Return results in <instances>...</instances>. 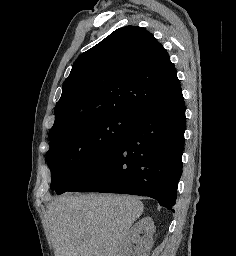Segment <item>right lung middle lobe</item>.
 <instances>
[{
	"instance_id": "right-lung-middle-lobe-1",
	"label": "right lung middle lobe",
	"mask_w": 236,
	"mask_h": 256,
	"mask_svg": "<svg viewBox=\"0 0 236 256\" xmlns=\"http://www.w3.org/2000/svg\"><path fill=\"white\" fill-rule=\"evenodd\" d=\"M136 119L108 116L70 125L49 135L46 161L51 169V189L66 192L90 168L111 153Z\"/></svg>"
}]
</instances>
